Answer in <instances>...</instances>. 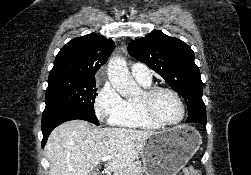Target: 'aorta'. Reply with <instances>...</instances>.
Wrapping results in <instances>:
<instances>
[{"label":"aorta","mask_w":251,"mask_h":175,"mask_svg":"<svg viewBox=\"0 0 251 175\" xmlns=\"http://www.w3.org/2000/svg\"><path fill=\"white\" fill-rule=\"evenodd\" d=\"M108 78L110 84H112L113 88L127 97V95H131V93H135L136 89H139L138 84L134 82L125 60L123 58H111L108 68Z\"/></svg>","instance_id":"obj_1"}]
</instances>
